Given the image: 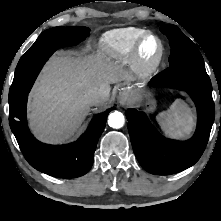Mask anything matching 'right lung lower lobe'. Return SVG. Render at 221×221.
<instances>
[{
    "mask_svg": "<svg viewBox=\"0 0 221 221\" xmlns=\"http://www.w3.org/2000/svg\"><path fill=\"white\" fill-rule=\"evenodd\" d=\"M27 97L28 93L9 103V123L28 163L45 174L59 178H74L86 174L92 166L107 116L114 108L96 115L76 142L54 146L39 142L30 133L26 120Z\"/></svg>",
    "mask_w": 221,
    "mask_h": 221,
    "instance_id": "obj_1",
    "label": "right lung lower lobe"
}]
</instances>
